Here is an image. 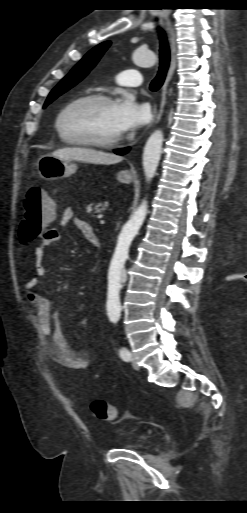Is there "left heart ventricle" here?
Wrapping results in <instances>:
<instances>
[{
  "label": "left heart ventricle",
  "instance_id": "b2bd125f",
  "mask_svg": "<svg viewBox=\"0 0 247 513\" xmlns=\"http://www.w3.org/2000/svg\"><path fill=\"white\" fill-rule=\"evenodd\" d=\"M70 138L108 140L121 135L116 122V104L98 101L73 105L61 121Z\"/></svg>",
  "mask_w": 247,
  "mask_h": 513
}]
</instances>
